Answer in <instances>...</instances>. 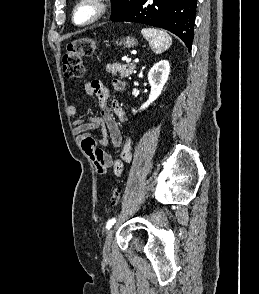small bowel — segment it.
I'll list each match as a JSON object with an SVG mask.
<instances>
[{
    "instance_id": "small-bowel-1",
    "label": "small bowel",
    "mask_w": 259,
    "mask_h": 294,
    "mask_svg": "<svg viewBox=\"0 0 259 294\" xmlns=\"http://www.w3.org/2000/svg\"><path fill=\"white\" fill-rule=\"evenodd\" d=\"M112 87L114 91L121 92L125 88V83L120 79H114ZM84 89L88 95L97 97L100 116L74 120L72 132L79 139L83 151L92 160L100 174L105 173L108 168H112L114 174L120 176L124 163L131 160L132 145L130 137L123 136L113 115L125 122V112L117 101L109 103L110 92L103 82L99 80L88 81L85 83ZM77 113V106L70 105L68 107L70 117L75 118ZM96 129L102 132V138L99 141H96L91 134ZM109 143L120 148L118 158H112L110 154L97 147V145L107 146Z\"/></svg>"
}]
</instances>
